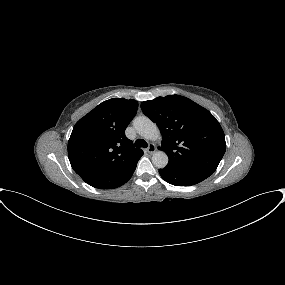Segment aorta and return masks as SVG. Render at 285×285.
Masks as SVG:
<instances>
[{"label": "aorta", "instance_id": "762f6f07", "mask_svg": "<svg viewBox=\"0 0 285 285\" xmlns=\"http://www.w3.org/2000/svg\"><path fill=\"white\" fill-rule=\"evenodd\" d=\"M133 126L137 133L148 140H159L160 131L155 123L146 116H139L134 119ZM152 163L158 168H164L168 164V156L164 151H156L152 155Z\"/></svg>", "mask_w": 285, "mask_h": 285}]
</instances>
